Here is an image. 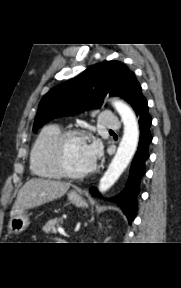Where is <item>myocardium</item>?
<instances>
[{"label": "myocardium", "instance_id": "obj_1", "mask_svg": "<svg viewBox=\"0 0 181 288\" xmlns=\"http://www.w3.org/2000/svg\"><path fill=\"white\" fill-rule=\"evenodd\" d=\"M88 138V133L83 130L71 129L62 131L57 138L55 139L52 150V162L55 166L56 170L61 174V176L73 178V179H81L92 173L95 169V164L92 165L85 171L75 172L70 170L64 159V151L66 144L72 139H84Z\"/></svg>", "mask_w": 181, "mask_h": 288}]
</instances>
